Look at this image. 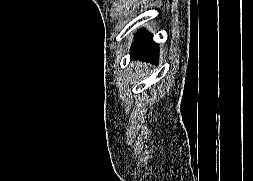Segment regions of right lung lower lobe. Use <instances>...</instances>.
<instances>
[{
	"label": "right lung lower lobe",
	"instance_id": "1",
	"mask_svg": "<svg viewBox=\"0 0 253 181\" xmlns=\"http://www.w3.org/2000/svg\"><path fill=\"white\" fill-rule=\"evenodd\" d=\"M158 49V45L152 40V35L142 30L137 34L130 54L132 58L151 60L156 64L158 60Z\"/></svg>",
	"mask_w": 253,
	"mask_h": 181
}]
</instances>
